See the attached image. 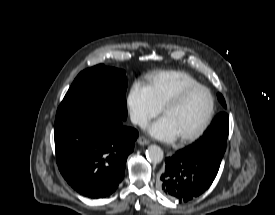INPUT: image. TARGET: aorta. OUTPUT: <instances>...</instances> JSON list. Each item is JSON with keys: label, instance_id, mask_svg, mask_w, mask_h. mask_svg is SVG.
Returning <instances> with one entry per match:
<instances>
[{"label": "aorta", "instance_id": "762f6f07", "mask_svg": "<svg viewBox=\"0 0 275 215\" xmlns=\"http://www.w3.org/2000/svg\"><path fill=\"white\" fill-rule=\"evenodd\" d=\"M146 157L152 163L157 164L163 160L164 154L159 146L150 145L146 151Z\"/></svg>", "mask_w": 275, "mask_h": 215}]
</instances>
